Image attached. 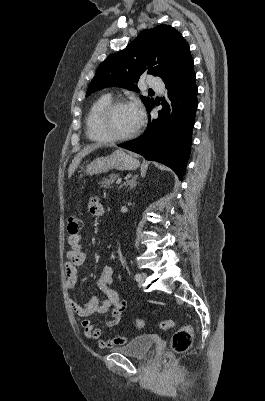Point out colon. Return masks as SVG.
Instances as JSON below:
<instances>
[{
  "label": "colon",
  "mask_w": 265,
  "mask_h": 401,
  "mask_svg": "<svg viewBox=\"0 0 265 401\" xmlns=\"http://www.w3.org/2000/svg\"><path fill=\"white\" fill-rule=\"evenodd\" d=\"M82 227V220L77 214H71L68 217L67 230L70 235H76L79 233ZM135 325L138 329L144 327L143 320H136ZM162 330H168L174 326L172 320H165L160 323ZM193 340V329L191 326H184L175 331L171 338L170 350L165 355V362L171 361L174 354H180L188 351L192 345Z\"/></svg>",
  "instance_id": "1"
}]
</instances>
